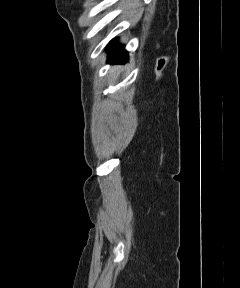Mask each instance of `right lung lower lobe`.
Masks as SVG:
<instances>
[{"mask_svg": "<svg viewBox=\"0 0 240 288\" xmlns=\"http://www.w3.org/2000/svg\"><path fill=\"white\" fill-rule=\"evenodd\" d=\"M114 43V41H113ZM128 58L127 52L124 49V46H118L113 44L110 46V54L108 57V62H123Z\"/></svg>", "mask_w": 240, "mask_h": 288, "instance_id": "1", "label": "right lung lower lobe"}]
</instances>
